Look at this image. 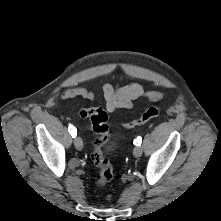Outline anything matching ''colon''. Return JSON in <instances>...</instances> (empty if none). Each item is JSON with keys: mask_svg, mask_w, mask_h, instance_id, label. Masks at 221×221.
Here are the masks:
<instances>
[{"mask_svg": "<svg viewBox=\"0 0 221 221\" xmlns=\"http://www.w3.org/2000/svg\"><path fill=\"white\" fill-rule=\"evenodd\" d=\"M161 107L151 106L145 110L138 118L133 119L124 124L125 128H133L137 125L144 124L151 119L159 117ZM79 116L89 118L92 129L95 133L93 141V151L91 154L92 161L99 168V172L95 177V184L103 187L108 184L113 178V168L109 160L103 154V146L110 139L108 114L102 108H82L79 111Z\"/></svg>", "mask_w": 221, "mask_h": 221, "instance_id": "1", "label": "colon"}]
</instances>
